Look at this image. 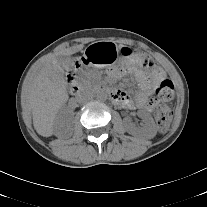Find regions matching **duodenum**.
<instances>
[{"instance_id": "duodenum-1", "label": "duodenum", "mask_w": 207, "mask_h": 207, "mask_svg": "<svg viewBox=\"0 0 207 207\" xmlns=\"http://www.w3.org/2000/svg\"><path fill=\"white\" fill-rule=\"evenodd\" d=\"M67 81H68V84H69L70 92L73 95L80 94L81 89H80L79 85L77 84V81H76V72L75 71H72V72H70L68 74ZM96 91L97 92H100V93H108L113 100L116 98V92L110 90L109 88H107L105 86H102V85L97 86L96 87Z\"/></svg>"}]
</instances>
